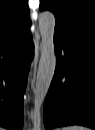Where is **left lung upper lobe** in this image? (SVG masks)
Masks as SVG:
<instances>
[{
	"label": "left lung upper lobe",
	"mask_w": 95,
	"mask_h": 130,
	"mask_svg": "<svg viewBox=\"0 0 95 130\" xmlns=\"http://www.w3.org/2000/svg\"><path fill=\"white\" fill-rule=\"evenodd\" d=\"M40 10L55 15V32L95 41V0H41Z\"/></svg>",
	"instance_id": "obj_1"
}]
</instances>
